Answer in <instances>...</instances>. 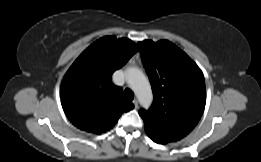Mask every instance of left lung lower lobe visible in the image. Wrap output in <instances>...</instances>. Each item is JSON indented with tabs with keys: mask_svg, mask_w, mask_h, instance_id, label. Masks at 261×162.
<instances>
[{
	"mask_svg": "<svg viewBox=\"0 0 261 162\" xmlns=\"http://www.w3.org/2000/svg\"><path fill=\"white\" fill-rule=\"evenodd\" d=\"M154 142L158 143V144H165L164 142L154 139L153 137H151L150 135H148Z\"/></svg>",
	"mask_w": 261,
	"mask_h": 162,
	"instance_id": "1",
	"label": "left lung lower lobe"
}]
</instances>
